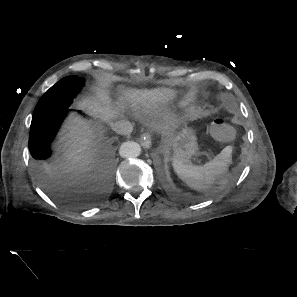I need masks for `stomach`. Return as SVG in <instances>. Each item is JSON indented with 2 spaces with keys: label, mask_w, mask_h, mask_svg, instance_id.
Instances as JSON below:
<instances>
[{
  "label": "stomach",
  "mask_w": 297,
  "mask_h": 297,
  "mask_svg": "<svg viewBox=\"0 0 297 297\" xmlns=\"http://www.w3.org/2000/svg\"><path fill=\"white\" fill-rule=\"evenodd\" d=\"M173 149V160L188 163L192 156L198 154L197 136L193 129L184 127L169 141Z\"/></svg>",
  "instance_id": "0dacf381"
}]
</instances>
